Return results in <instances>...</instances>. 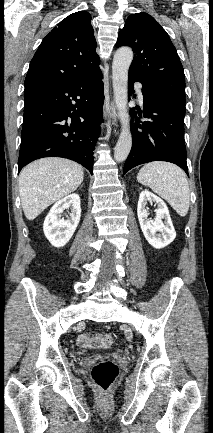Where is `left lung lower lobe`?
Listing matches in <instances>:
<instances>
[{"mask_svg":"<svg viewBox=\"0 0 213 433\" xmlns=\"http://www.w3.org/2000/svg\"><path fill=\"white\" fill-rule=\"evenodd\" d=\"M141 82L129 74V95L133 83ZM143 111L135 108L131 114L133 144L124 165L123 175L133 167L151 161H167L181 167L188 175L184 141L185 106L167 97L149 91L143 84ZM145 121H140V118Z\"/></svg>","mask_w":213,"mask_h":433,"instance_id":"left-lung-lower-lobe-1","label":"left lung lower lobe"}]
</instances>
